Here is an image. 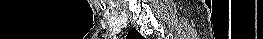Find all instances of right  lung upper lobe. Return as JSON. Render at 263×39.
Here are the masks:
<instances>
[{"mask_svg":"<svg viewBox=\"0 0 263 39\" xmlns=\"http://www.w3.org/2000/svg\"><path fill=\"white\" fill-rule=\"evenodd\" d=\"M129 35H131L132 38L140 39L142 36L134 29L129 32Z\"/></svg>","mask_w":263,"mask_h":39,"instance_id":"1","label":"right lung upper lobe"}]
</instances>
